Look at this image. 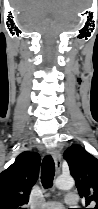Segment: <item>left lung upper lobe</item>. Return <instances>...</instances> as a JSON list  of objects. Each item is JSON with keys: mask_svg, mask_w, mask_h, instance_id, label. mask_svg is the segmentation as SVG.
<instances>
[{"mask_svg": "<svg viewBox=\"0 0 98 209\" xmlns=\"http://www.w3.org/2000/svg\"><path fill=\"white\" fill-rule=\"evenodd\" d=\"M63 156L80 197L85 198L86 206L98 209V159L77 144L69 147Z\"/></svg>", "mask_w": 98, "mask_h": 209, "instance_id": "1", "label": "left lung upper lobe"}]
</instances>
